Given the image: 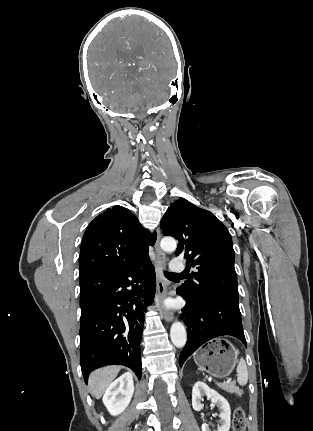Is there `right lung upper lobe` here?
Masks as SVG:
<instances>
[{
	"instance_id": "obj_1",
	"label": "right lung upper lobe",
	"mask_w": 313,
	"mask_h": 431,
	"mask_svg": "<svg viewBox=\"0 0 313 431\" xmlns=\"http://www.w3.org/2000/svg\"><path fill=\"white\" fill-rule=\"evenodd\" d=\"M156 233L145 229L131 211L116 205L97 216L83 235L79 277L132 267L148 258Z\"/></svg>"
}]
</instances>
